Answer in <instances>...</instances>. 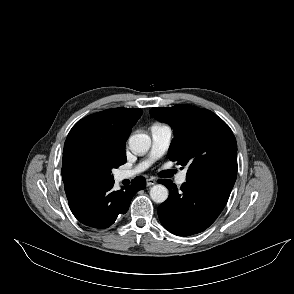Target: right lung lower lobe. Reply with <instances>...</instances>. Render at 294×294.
<instances>
[{"mask_svg":"<svg viewBox=\"0 0 294 294\" xmlns=\"http://www.w3.org/2000/svg\"><path fill=\"white\" fill-rule=\"evenodd\" d=\"M114 179L91 185L65 187L69 207L74 216L84 225L94 228L111 226L118 215L128 211L136 192L146 186L144 177L138 176L130 186L114 191Z\"/></svg>","mask_w":294,"mask_h":294,"instance_id":"1","label":"right lung lower lobe"}]
</instances>
